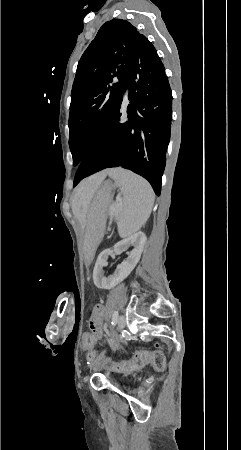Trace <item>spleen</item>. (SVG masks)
<instances>
[{
	"instance_id": "obj_1",
	"label": "spleen",
	"mask_w": 241,
	"mask_h": 450,
	"mask_svg": "<svg viewBox=\"0 0 241 450\" xmlns=\"http://www.w3.org/2000/svg\"><path fill=\"white\" fill-rule=\"evenodd\" d=\"M110 178L123 192V206L118 216L120 238H127L146 224L154 206L155 194L147 180L122 168H112Z\"/></svg>"
}]
</instances>
